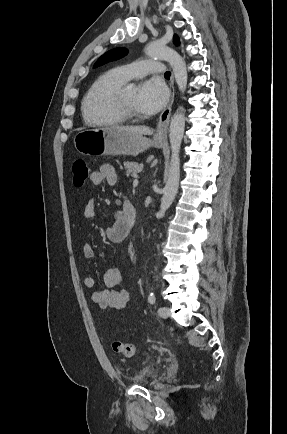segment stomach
Masks as SVG:
<instances>
[{"label":"stomach","instance_id":"0dacf381","mask_svg":"<svg viewBox=\"0 0 287 434\" xmlns=\"http://www.w3.org/2000/svg\"><path fill=\"white\" fill-rule=\"evenodd\" d=\"M74 146L83 155H137L150 147H161L163 140L128 134L113 127L84 129L74 136Z\"/></svg>","mask_w":287,"mask_h":434}]
</instances>
